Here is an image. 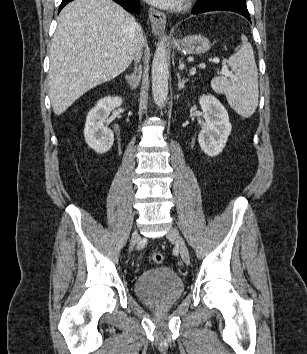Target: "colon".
<instances>
[{
	"mask_svg": "<svg viewBox=\"0 0 307 354\" xmlns=\"http://www.w3.org/2000/svg\"><path fill=\"white\" fill-rule=\"evenodd\" d=\"M163 260H164V257H163V255L161 253L155 252V253L152 254V261L154 263L160 264V263L163 262Z\"/></svg>",
	"mask_w": 307,
	"mask_h": 354,
	"instance_id": "colon-1",
	"label": "colon"
}]
</instances>
